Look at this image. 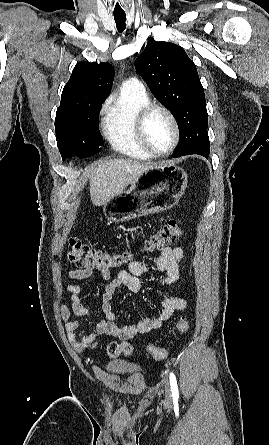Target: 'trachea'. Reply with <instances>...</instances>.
<instances>
[{
  "label": "trachea",
  "mask_w": 269,
  "mask_h": 445,
  "mask_svg": "<svg viewBox=\"0 0 269 445\" xmlns=\"http://www.w3.org/2000/svg\"><path fill=\"white\" fill-rule=\"evenodd\" d=\"M117 30L123 32L126 28V15H116L114 16Z\"/></svg>",
  "instance_id": "trachea-1"
}]
</instances>
